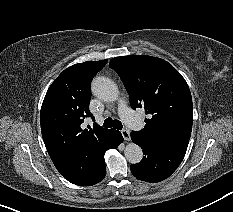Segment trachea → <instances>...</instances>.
Segmentation results:
<instances>
[{"label": "trachea", "mask_w": 233, "mask_h": 212, "mask_svg": "<svg viewBox=\"0 0 233 212\" xmlns=\"http://www.w3.org/2000/svg\"><path fill=\"white\" fill-rule=\"evenodd\" d=\"M103 126L107 127V128L114 127V128H116L118 130H121L123 128V125L119 120H116V119L113 120L112 118H107L104 121Z\"/></svg>", "instance_id": "obj_1"}]
</instances>
